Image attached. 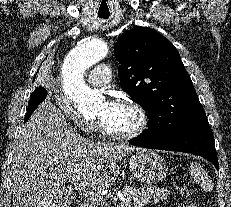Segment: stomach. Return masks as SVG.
Masks as SVG:
<instances>
[{
	"mask_svg": "<svg viewBox=\"0 0 231 207\" xmlns=\"http://www.w3.org/2000/svg\"><path fill=\"white\" fill-rule=\"evenodd\" d=\"M130 170L138 181L152 185L159 183L166 177L168 165L156 152L141 149L131 156Z\"/></svg>",
	"mask_w": 231,
	"mask_h": 207,
	"instance_id": "obj_1",
	"label": "stomach"
}]
</instances>
